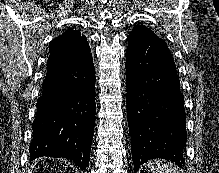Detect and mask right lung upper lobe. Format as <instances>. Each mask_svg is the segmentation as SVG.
<instances>
[{"instance_id":"obj_1","label":"right lung upper lobe","mask_w":219,"mask_h":173,"mask_svg":"<svg viewBox=\"0 0 219 173\" xmlns=\"http://www.w3.org/2000/svg\"><path fill=\"white\" fill-rule=\"evenodd\" d=\"M50 57L56 65L62 66L71 63L75 57H83L90 52L89 44L79 31L68 30L52 40L49 44Z\"/></svg>"}]
</instances>
